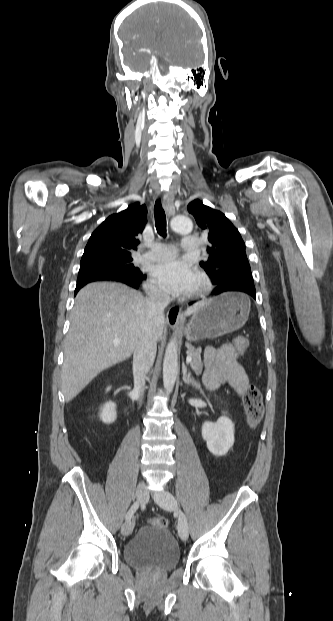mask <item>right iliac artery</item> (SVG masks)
Here are the masks:
<instances>
[{
    "label": "right iliac artery",
    "instance_id": "82829eb1",
    "mask_svg": "<svg viewBox=\"0 0 333 621\" xmlns=\"http://www.w3.org/2000/svg\"><path fill=\"white\" fill-rule=\"evenodd\" d=\"M138 508H139V502H138V501H136V502H134V503H133V505L131 506V508L128 510V512H127V514H126V516H125L126 521H129V520L132 518V516L134 515V513L136 512V510H137Z\"/></svg>",
    "mask_w": 333,
    "mask_h": 621
}]
</instances>
